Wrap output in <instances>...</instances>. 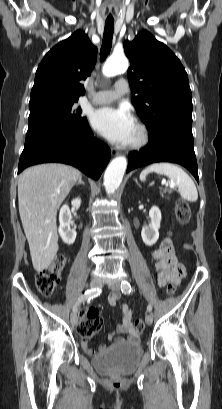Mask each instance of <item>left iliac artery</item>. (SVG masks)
Listing matches in <instances>:
<instances>
[{
	"label": "left iliac artery",
	"instance_id": "obj_1",
	"mask_svg": "<svg viewBox=\"0 0 222 409\" xmlns=\"http://www.w3.org/2000/svg\"><path fill=\"white\" fill-rule=\"evenodd\" d=\"M121 291L124 294H130V292L132 291L131 285L128 281H122L121 283ZM147 311L151 312L152 311V306L149 304L147 306Z\"/></svg>",
	"mask_w": 222,
	"mask_h": 409
}]
</instances>
